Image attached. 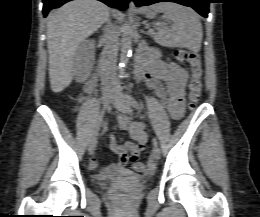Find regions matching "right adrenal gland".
<instances>
[{
	"label": "right adrenal gland",
	"instance_id": "right-adrenal-gland-1",
	"mask_svg": "<svg viewBox=\"0 0 260 217\" xmlns=\"http://www.w3.org/2000/svg\"><path fill=\"white\" fill-rule=\"evenodd\" d=\"M107 24H110V19H108Z\"/></svg>",
	"mask_w": 260,
	"mask_h": 217
}]
</instances>
